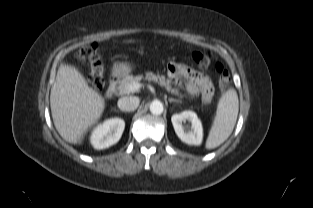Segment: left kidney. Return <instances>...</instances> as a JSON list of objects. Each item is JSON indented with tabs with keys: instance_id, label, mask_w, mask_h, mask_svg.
I'll return each instance as SVG.
<instances>
[{
	"instance_id": "left-kidney-1",
	"label": "left kidney",
	"mask_w": 313,
	"mask_h": 208,
	"mask_svg": "<svg viewBox=\"0 0 313 208\" xmlns=\"http://www.w3.org/2000/svg\"><path fill=\"white\" fill-rule=\"evenodd\" d=\"M171 121L175 133L181 141L189 145H200L203 139V128L200 119L193 111H183L179 114H174ZM191 122V128L183 126V122Z\"/></svg>"
}]
</instances>
